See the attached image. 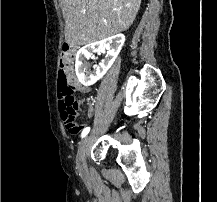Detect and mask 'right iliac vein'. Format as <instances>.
Here are the masks:
<instances>
[{
    "label": "right iliac vein",
    "mask_w": 217,
    "mask_h": 202,
    "mask_svg": "<svg viewBox=\"0 0 217 202\" xmlns=\"http://www.w3.org/2000/svg\"><path fill=\"white\" fill-rule=\"evenodd\" d=\"M89 138L85 137L79 144L77 152V163L80 169H83L85 166V157L88 147Z\"/></svg>",
    "instance_id": "63e3f726"
}]
</instances>
